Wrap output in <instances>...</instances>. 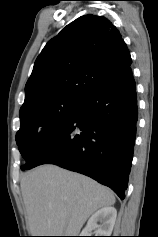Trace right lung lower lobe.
Returning <instances> with one entry per match:
<instances>
[{
	"label": "right lung lower lobe",
	"mask_w": 158,
	"mask_h": 237,
	"mask_svg": "<svg viewBox=\"0 0 158 237\" xmlns=\"http://www.w3.org/2000/svg\"><path fill=\"white\" fill-rule=\"evenodd\" d=\"M138 108L131 68L94 90L37 149L23 170L52 163L87 175L125 198Z\"/></svg>",
	"instance_id": "right-lung-lower-lobe-1"
}]
</instances>
